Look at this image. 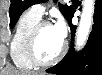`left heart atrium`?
Masks as SVG:
<instances>
[{"mask_svg":"<svg viewBox=\"0 0 102 75\" xmlns=\"http://www.w3.org/2000/svg\"><path fill=\"white\" fill-rule=\"evenodd\" d=\"M55 29L59 35V37L64 41L67 33L66 24L64 23L63 19H59L55 24Z\"/></svg>","mask_w":102,"mask_h":75,"instance_id":"1","label":"left heart atrium"}]
</instances>
